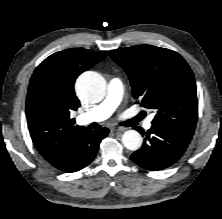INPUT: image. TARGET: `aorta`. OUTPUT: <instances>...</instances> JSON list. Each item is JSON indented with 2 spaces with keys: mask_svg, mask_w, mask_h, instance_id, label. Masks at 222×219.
<instances>
[{
  "mask_svg": "<svg viewBox=\"0 0 222 219\" xmlns=\"http://www.w3.org/2000/svg\"><path fill=\"white\" fill-rule=\"evenodd\" d=\"M106 82L98 73L93 71L84 72L76 82V91L79 97L88 103H97L105 96ZM143 139L136 130L125 131L122 135V143L128 150H138Z\"/></svg>",
  "mask_w": 222,
  "mask_h": 219,
  "instance_id": "aorta-1",
  "label": "aorta"
}]
</instances>
